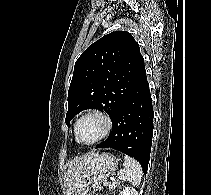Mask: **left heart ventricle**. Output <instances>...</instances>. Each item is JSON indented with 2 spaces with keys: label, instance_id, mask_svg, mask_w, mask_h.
I'll return each instance as SVG.
<instances>
[{
  "label": "left heart ventricle",
  "instance_id": "obj_1",
  "mask_svg": "<svg viewBox=\"0 0 211 195\" xmlns=\"http://www.w3.org/2000/svg\"><path fill=\"white\" fill-rule=\"evenodd\" d=\"M103 122L96 116L83 120L79 128V138L83 142H91L103 131Z\"/></svg>",
  "mask_w": 211,
  "mask_h": 195
}]
</instances>
